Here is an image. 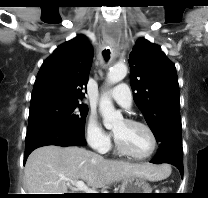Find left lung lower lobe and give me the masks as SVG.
<instances>
[{
  "label": "left lung lower lobe",
  "mask_w": 208,
  "mask_h": 198,
  "mask_svg": "<svg viewBox=\"0 0 208 198\" xmlns=\"http://www.w3.org/2000/svg\"><path fill=\"white\" fill-rule=\"evenodd\" d=\"M152 163H169L176 166L183 177V162H182V151H179L172 145L160 146V149Z\"/></svg>",
  "instance_id": "obj_1"
}]
</instances>
